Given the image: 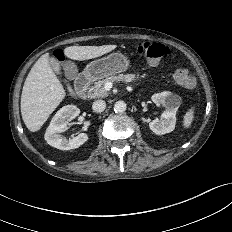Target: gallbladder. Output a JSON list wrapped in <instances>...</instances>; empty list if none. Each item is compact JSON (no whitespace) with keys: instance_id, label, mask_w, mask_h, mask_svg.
I'll use <instances>...</instances> for the list:
<instances>
[{"instance_id":"1","label":"gallbladder","mask_w":232,"mask_h":232,"mask_svg":"<svg viewBox=\"0 0 232 232\" xmlns=\"http://www.w3.org/2000/svg\"><path fill=\"white\" fill-rule=\"evenodd\" d=\"M48 61H49V64L51 66V68L56 72V73H60V64H59V61L53 57V56H49L48 57Z\"/></svg>"}]
</instances>
